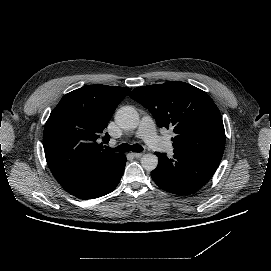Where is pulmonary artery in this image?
<instances>
[{
	"label": "pulmonary artery",
	"instance_id": "1",
	"mask_svg": "<svg viewBox=\"0 0 271 271\" xmlns=\"http://www.w3.org/2000/svg\"><path fill=\"white\" fill-rule=\"evenodd\" d=\"M136 136L142 138L147 144H151L157 138L155 125L150 116H144L141 119ZM167 151L171 153L172 147L169 146Z\"/></svg>",
	"mask_w": 271,
	"mask_h": 271
}]
</instances>
